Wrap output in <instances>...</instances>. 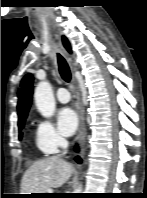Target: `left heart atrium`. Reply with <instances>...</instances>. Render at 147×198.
<instances>
[{
	"instance_id": "obj_1",
	"label": "left heart atrium",
	"mask_w": 147,
	"mask_h": 198,
	"mask_svg": "<svg viewBox=\"0 0 147 198\" xmlns=\"http://www.w3.org/2000/svg\"><path fill=\"white\" fill-rule=\"evenodd\" d=\"M57 121L59 131L64 136L72 135L78 126L77 113L69 107L63 108L59 111Z\"/></svg>"
}]
</instances>
